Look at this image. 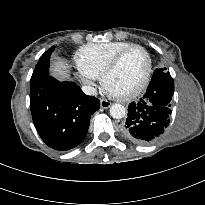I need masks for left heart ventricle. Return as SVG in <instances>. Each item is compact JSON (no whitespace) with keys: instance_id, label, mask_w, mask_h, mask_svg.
<instances>
[{"instance_id":"b2bd125f","label":"left heart ventricle","mask_w":205,"mask_h":205,"mask_svg":"<svg viewBox=\"0 0 205 205\" xmlns=\"http://www.w3.org/2000/svg\"><path fill=\"white\" fill-rule=\"evenodd\" d=\"M147 61L140 50H132L124 56L118 67L106 80L107 89L117 95L134 90L144 77Z\"/></svg>"}]
</instances>
